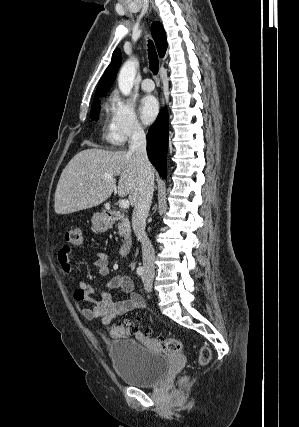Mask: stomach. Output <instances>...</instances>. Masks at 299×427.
Wrapping results in <instances>:
<instances>
[{
	"instance_id": "obj_1",
	"label": "stomach",
	"mask_w": 299,
	"mask_h": 427,
	"mask_svg": "<svg viewBox=\"0 0 299 427\" xmlns=\"http://www.w3.org/2000/svg\"><path fill=\"white\" fill-rule=\"evenodd\" d=\"M92 223L97 230L104 231L110 226L109 218L102 214L96 213L92 217Z\"/></svg>"
}]
</instances>
